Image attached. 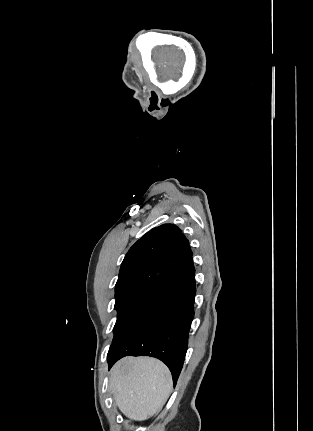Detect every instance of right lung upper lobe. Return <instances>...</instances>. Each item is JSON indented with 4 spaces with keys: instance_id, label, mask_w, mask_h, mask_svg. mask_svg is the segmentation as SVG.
Returning a JSON list of instances; mask_svg holds the SVG:
<instances>
[{
    "instance_id": "1",
    "label": "right lung upper lobe",
    "mask_w": 313,
    "mask_h": 431,
    "mask_svg": "<svg viewBox=\"0 0 313 431\" xmlns=\"http://www.w3.org/2000/svg\"><path fill=\"white\" fill-rule=\"evenodd\" d=\"M192 257L188 240L171 224L153 228L127 252L115 286V297L150 295Z\"/></svg>"
}]
</instances>
